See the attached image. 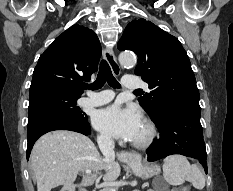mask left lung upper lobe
<instances>
[{
  "label": "left lung upper lobe",
  "instance_id": "5c2ea615",
  "mask_svg": "<svg viewBox=\"0 0 233 191\" xmlns=\"http://www.w3.org/2000/svg\"><path fill=\"white\" fill-rule=\"evenodd\" d=\"M118 49L132 50L138 56L135 74L141 75L151 90L138 100L153 121L165 108L201 110L190 61L177 38L139 19L127 25Z\"/></svg>",
  "mask_w": 233,
  "mask_h": 191
}]
</instances>
